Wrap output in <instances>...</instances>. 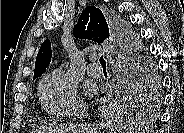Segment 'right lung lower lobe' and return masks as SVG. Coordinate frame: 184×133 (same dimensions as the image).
I'll list each match as a JSON object with an SVG mask.
<instances>
[{
  "mask_svg": "<svg viewBox=\"0 0 184 133\" xmlns=\"http://www.w3.org/2000/svg\"><path fill=\"white\" fill-rule=\"evenodd\" d=\"M109 23L117 40L120 49V56L124 64L128 66L130 51H132L134 46L131 45V40L128 36L127 30L121 23V20L116 17L110 18ZM142 54L143 56H146V53L142 52Z\"/></svg>",
  "mask_w": 184,
  "mask_h": 133,
  "instance_id": "obj_1",
  "label": "right lung lower lobe"
}]
</instances>
